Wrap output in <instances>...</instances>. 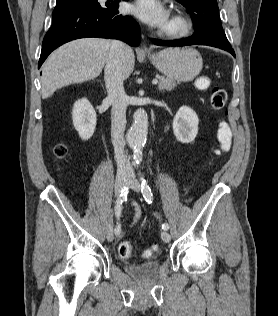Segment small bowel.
Here are the masks:
<instances>
[{
    "mask_svg": "<svg viewBox=\"0 0 278 316\" xmlns=\"http://www.w3.org/2000/svg\"><path fill=\"white\" fill-rule=\"evenodd\" d=\"M132 205L134 208L133 223H136L141 217V209L137 203H133Z\"/></svg>",
    "mask_w": 278,
    "mask_h": 316,
    "instance_id": "small-bowel-1",
    "label": "small bowel"
}]
</instances>
